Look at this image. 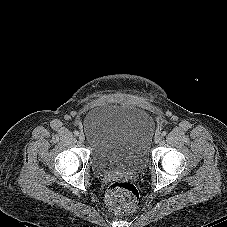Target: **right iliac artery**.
Segmentation results:
<instances>
[{
    "label": "right iliac artery",
    "instance_id": "82829eb1",
    "mask_svg": "<svg viewBox=\"0 0 227 227\" xmlns=\"http://www.w3.org/2000/svg\"><path fill=\"white\" fill-rule=\"evenodd\" d=\"M74 135L78 136L79 132L78 131H74Z\"/></svg>",
    "mask_w": 227,
    "mask_h": 227
}]
</instances>
